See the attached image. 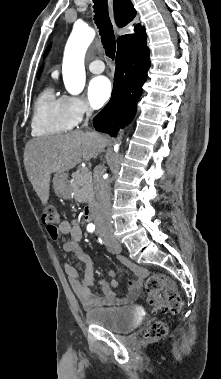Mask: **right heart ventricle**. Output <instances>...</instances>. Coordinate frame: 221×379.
Returning a JSON list of instances; mask_svg holds the SVG:
<instances>
[{
  "label": "right heart ventricle",
  "instance_id": "right-heart-ventricle-1",
  "mask_svg": "<svg viewBox=\"0 0 221 379\" xmlns=\"http://www.w3.org/2000/svg\"><path fill=\"white\" fill-rule=\"evenodd\" d=\"M62 97L51 88L44 89L36 99L31 130L35 136H49L67 132L74 127Z\"/></svg>",
  "mask_w": 221,
  "mask_h": 379
}]
</instances>
